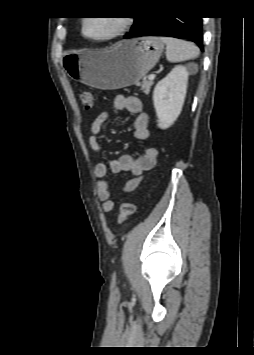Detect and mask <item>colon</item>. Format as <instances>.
Returning <instances> with one entry per match:
<instances>
[{
	"instance_id": "colon-1",
	"label": "colon",
	"mask_w": 254,
	"mask_h": 355,
	"mask_svg": "<svg viewBox=\"0 0 254 355\" xmlns=\"http://www.w3.org/2000/svg\"><path fill=\"white\" fill-rule=\"evenodd\" d=\"M80 101L84 109L92 110L94 107V95L89 91H82L80 93ZM136 205L133 202L122 203L117 215L119 223L125 222L131 215L134 214Z\"/></svg>"
}]
</instances>
